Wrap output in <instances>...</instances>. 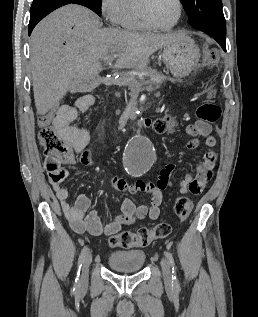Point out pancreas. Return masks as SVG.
Here are the masks:
<instances>
[{
    "label": "pancreas",
    "mask_w": 258,
    "mask_h": 317,
    "mask_svg": "<svg viewBox=\"0 0 258 317\" xmlns=\"http://www.w3.org/2000/svg\"><path fill=\"white\" fill-rule=\"evenodd\" d=\"M109 83L116 82L117 84H125L127 87V92H133L135 90L136 93H141L144 90L145 93H150L151 90H159L160 84L163 83V78L158 77H146L137 78V77H117L115 79L114 76L108 77ZM145 81V83H144Z\"/></svg>",
    "instance_id": "pancreas-1"
}]
</instances>
